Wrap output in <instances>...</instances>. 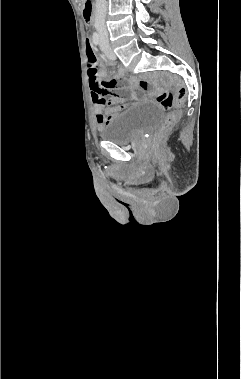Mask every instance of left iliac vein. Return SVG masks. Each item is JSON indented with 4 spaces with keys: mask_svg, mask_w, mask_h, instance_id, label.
<instances>
[{
    "mask_svg": "<svg viewBox=\"0 0 241 379\" xmlns=\"http://www.w3.org/2000/svg\"><path fill=\"white\" fill-rule=\"evenodd\" d=\"M101 49L104 52V54L107 56V58H109L111 60L116 59V55L114 54V52L112 51V49L109 47V45L107 43L102 42L101 43Z\"/></svg>",
    "mask_w": 241,
    "mask_h": 379,
    "instance_id": "left-iliac-vein-1",
    "label": "left iliac vein"
}]
</instances>
